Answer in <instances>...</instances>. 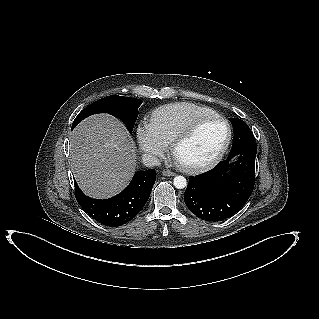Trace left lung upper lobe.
Wrapping results in <instances>:
<instances>
[{"label":"left lung upper lobe","mask_w":319,"mask_h":319,"mask_svg":"<svg viewBox=\"0 0 319 319\" xmlns=\"http://www.w3.org/2000/svg\"><path fill=\"white\" fill-rule=\"evenodd\" d=\"M235 121V124H232L234 137L232 149L230 152H241L245 150L257 152L256 139L248 125L244 121L237 118Z\"/></svg>","instance_id":"5c2ea615"}]
</instances>
